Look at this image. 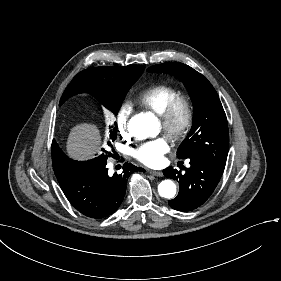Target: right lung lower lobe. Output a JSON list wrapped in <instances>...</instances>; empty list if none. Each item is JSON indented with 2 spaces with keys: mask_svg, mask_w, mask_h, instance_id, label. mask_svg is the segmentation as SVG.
Masks as SVG:
<instances>
[{
  "mask_svg": "<svg viewBox=\"0 0 281 281\" xmlns=\"http://www.w3.org/2000/svg\"><path fill=\"white\" fill-rule=\"evenodd\" d=\"M53 145L57 144L54 142ZM101 155L77 174L59 175L58 182L66 198L83 215L98 219L114 213L126 193V183L135 171H143L130 163L123 165L120 174H108L107 158Z\"/></svg>",
  "mask_w": 281,
  "mask_h": 281,
  "instance_id": "1",
  "label": "right lung lower lobe"
}]
</instances>
